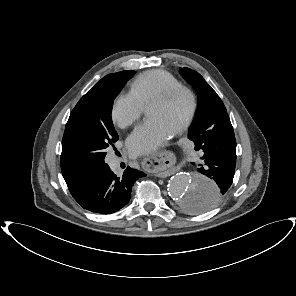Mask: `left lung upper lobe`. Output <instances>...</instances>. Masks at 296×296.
I'll list each match as a JSON object with an SVG mask.
<instances>
[{
  "label": "left lung upper lobe",
  "mask_w": 296,
  "mask_h": 296,
  "mask_svg": "<svg viewBox=\"0 0 296 296\" xmlns=\"http://www.w3.org/2000/svg\"><path fill=\"white\" fill-rule=\"evenodd\" d=\"M180 74L193 86L198 95V109L189 130V139L194 142L196 151L202 150L205 143L203 134L228 114L220 97L199 73L184 67L180 69ZM185 209L193 212V201Z\"/></svg>",
  "instance_id": "5c2ea615"
}]
</instances>
